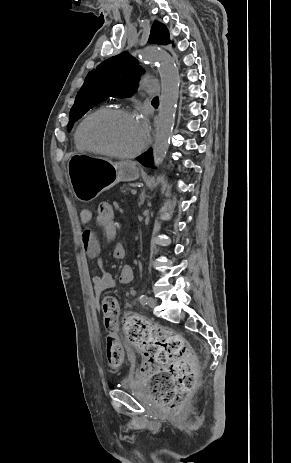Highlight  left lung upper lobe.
<instances>
[{
	"instance_id": "obj_1",
	"label": "left lung upper lobe",
	"mask_w": 291,
	"mask_h": 463,
	"mask_svg": "<svg viewBox=\"0 0 291 463\" xmlns=\"http://www.w3.org/2000/svg\"><path fill=\"white\" fill-rule=\"evenodd\" d=\"M148 42L169 44L170 37L166 26L155 21ZM142 73L137 60L127 52L102 62L96 69L88 73L84 84L78 91L74 105L70 110L67 129L70 130L75 121L107 97L118 98L132 95Z\"/></svg>"
}]
</instances>
